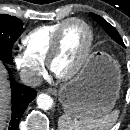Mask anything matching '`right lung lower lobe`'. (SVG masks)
Wrapping results in <instances>:
<instances>
[{"mask_svg": "<svg viewBox=\"0 0 130 130\" xmlns=\"http://www.w3.org/2000/svg\"><path fill=\"white\" fill-rule=\"evenodd\" d=\"M5 67L10 75V85L12 93V118L9 123L8 130H18V125L24 111L37 94L34 89L15 82L12 77L10 68L6 64Z\"/></svg>", "mask_w": 130, "mask_h": 130, "instance_id": "1", "label": "right lung lower lobe"}]
</instances>
